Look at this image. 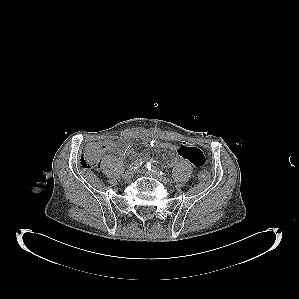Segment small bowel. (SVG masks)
<instances>
[{
    "mask_svg": "<svg viewBox=\"0 0 299 299\" xmlns=\"http://www.w3.org/2000/svg\"><path fill=\"white\" fill-rule=\"evenodd\" d=\"M104 144L106 145L105 151L118 152L121 156L124 157L133 154V150L131 149L128 140L126 139H123L119 143H116L114 141H107ZM142 145L144 147H155L173 151L178 157L187 160L197 168L203 167L206 162L205 156L202 151L191 144L185 143L182 146H176L170 142L144 138L142 140Z\"/></svg>",
    "mask_w": 299,
    "mask_h": 299,
    "instance_id": "c3829d8e",
    "label": "small bowel"
}]
</instances>
